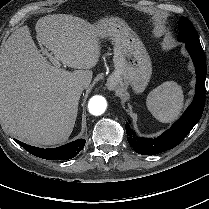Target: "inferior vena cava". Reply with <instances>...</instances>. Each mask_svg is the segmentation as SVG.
<instances>
[{
  "mask_svg": "<svg viewBox=\"0 0 209 209\" xmlns=\"http://www.w3.org/2000/svg\"><path fill=\"white\" fill-rule=\"evenodd\" d=\"M85 88V86L82 83H79L75 86V90L77 91V93L81 94L83 89Z\"/></svg>",
  "mask_w": 209,
  "mask_h": 209,
  "instance_id": "inferior-vena-cava-1",
  "label": "inferior vena cava"
}]
</instances>
